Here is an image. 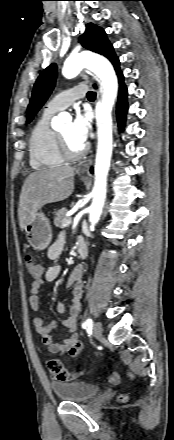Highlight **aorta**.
<instances>
[{"instance_id":"1","label":"aorta","mask_w":174,"mask_h":440,"mask_svg":"<svg viewBox=\"0 0 174 440\" xmlns=\"http://www.w3.org/2000/svg\"><path fill=\"white\" fill-rule=\"evenodd\" d=\"M83 68L92 71L101 81L103 91L96 106L98 126V146L95 162V181L93 200L89 211V221L94 226L100 220L107 193V175L112 156V120L111 111L118 93V80L112 64L105 57L94 53H80L70 56L64 62L62 75L71 79L76 77ZM65 118L61 113L52 121L58 127Z\"/></svg>"}]
</instances>
